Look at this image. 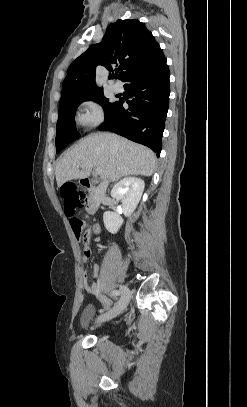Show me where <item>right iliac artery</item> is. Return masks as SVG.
I'll return each instance as SVG.
<instances>
[{
	"instance_id": "right-iliac-artery-1",
	"label": "right iliac artery",
	"mask_w": 247,
	"mask_h": 407,
	"mask_svg": "<svg viewBox=\"0 0 247 407\" xmlns=\"http://www.w3.org/2000/svg\"><path fill=\"white\" fill-rule=\"evenodd\" d=\"M111 295L119 296V295H121V291L120 290H113L111 292Z\"/></svg>"
}]
</instances>
